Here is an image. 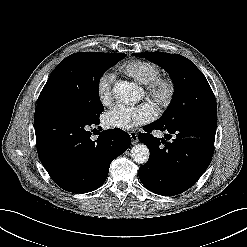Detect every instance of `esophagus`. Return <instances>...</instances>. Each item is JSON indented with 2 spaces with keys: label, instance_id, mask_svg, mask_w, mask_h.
<instances>
[{
  "label": "esophagus",
  "instance_id": "obj_1",
  "mask_svg": "<svg viewBox=\"0 0 247 247\" xmlns=\"http://www.w3.org/2000/svg\"><path fill=\"white\" fill-rule=\"evenodd\" d=\"M129 135L131 137L132 140V144H136L138 142V135L135 131H130Z\"/></svg>",
  "mask_w": 247,
  "mask_h": 247
}]
</instances>
